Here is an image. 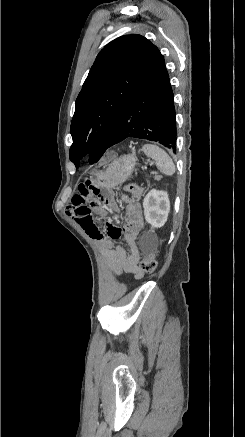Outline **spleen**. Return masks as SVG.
I'll return each mask as SVG.
<instances>
[{
	"label": "spleen",
	"instance_id": "1",
	"mask_svg": "<svg viewBox=\"0 0 245 437\" xmlns=\"http://www.w3.org/2000/svg\"><path fill=\"white\" fill-rule=\"evenodd\" d=\"M142 149L148 157L155 160L157 168L163 174L171 176L175 173V164L163 149L154 144H145Z\"/></svg>",
	"mask_w": 245,
	"mask_h": 437
}]
</instances>
